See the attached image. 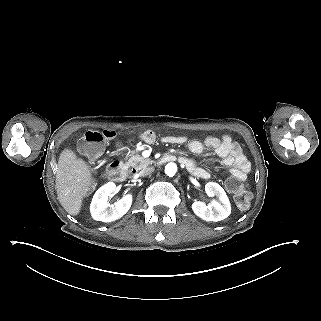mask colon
I'll return each mask as SVG.
<instances>
[{
  "instance_id": "colon-1",
  "label": "colon",
  "mask_w": 321,
  "mask_h": 321,
  "mask_svg": "<svg viewBox=\"0 0 321 321\" xmlns=\"http://www.w3.org/2000/svg\"><path fill=\"white\" fill-rule=\"evenodd\" d=\"M116 136L114 130L87 131L78 143V149L84 155L96 158L103 150L105 143ZM226 186L233 194L239 209H247L250 205V193L244 187V180L230 177Z\"/></svg>"
}]
</instances>
